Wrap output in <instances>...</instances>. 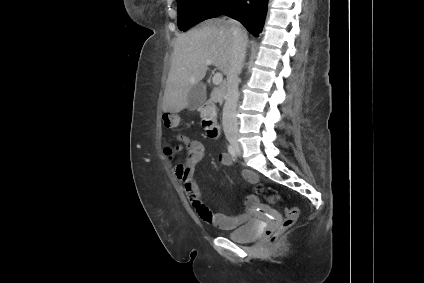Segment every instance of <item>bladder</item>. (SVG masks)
<instances>
[{
    "mask_svg": "<svg viewBox=\"0 0 424 283\" xmlns=\"http://www.w3.org/2000/svg\"><path fill=\"white\" fill-rule=\"evenodd\" d=\"M261 232V223L257 219L250 220L245 225L230 232L228 237L236 243H248L255 240Z\"/></svg>",
    "mask_w": 424,
    "mask_h": 283,
    "instance_id": "31cf9c89",
    "label": "bladder"
}]
</instances>
